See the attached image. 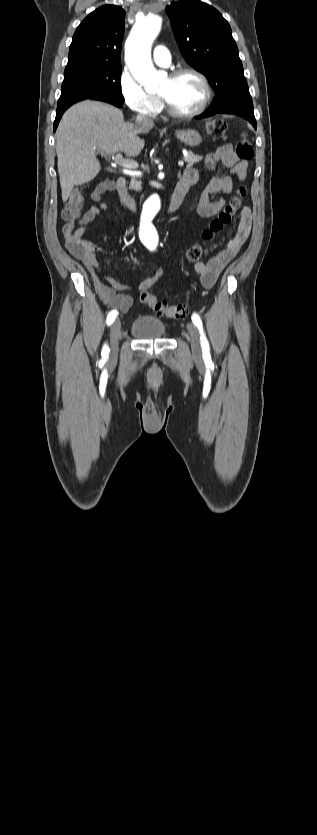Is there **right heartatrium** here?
Masks as SVG:
<instances>
[{
	"label": "right heart atrium",
	"instance_id": "d8ad5b80",
	"mask_svg": "<svg viewBox=\"0 0 317 835\" xmlns=\"http://www.w3.org/2000/svg\"><path fill=\"white\" fill-rule=\"evenodd\" d=\"M119 90L125 104L140 116L152 118L162 110L161 100L147 93L127 69L119 76Z\"/></svg>",
	"mask_w": 317,
	"mask_h": 835
}]
</instances>
